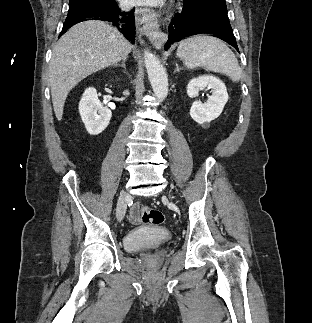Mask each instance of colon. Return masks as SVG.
Masks as SVG:
<instances>
[{
	"label": "colon",
	"mask_w": 312,
	"mask_h": 323,
	"mask_svg": "<svg viewBox=\"0 0 312 323\" xmlns=\"http://www.w3.org/2000/svg\"><path fill=\"white\" fill-rule=\"evenodd\" d=\"M139 210L141 219L146 224L161 225L164 222V214L159 209L142 205Z\"/></svg>",
	"instance_id": "obj_1"
}]
</instances>
